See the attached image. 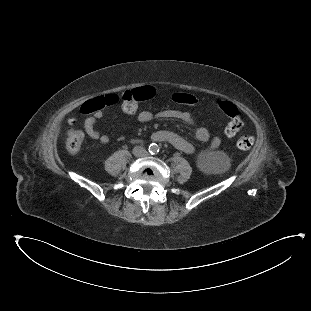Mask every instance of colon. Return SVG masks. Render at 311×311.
I'll list each match as a JSON object with an SVG mask.
<instances>
[{
  "label": "colon",
  "instance_id": "5ec220e1",
  "mask_svg": "<svg viewBox=\"0 0 311 311\" xmlns=\"http://www.w3.org/2000/svg\"><path fill=\"white\" fill-rule=\"evenodd\" d=\"M153 86H143L133 90H122L120 93L102 94L98 97H90L83 101V105L76 113L70 115V122L74 126H82L88 123L92 117L100 110H108L111 108H119L121 105L127 113H134L138 108V102L144 99H149L154 94ZM176 103L193 105L194 98L190 94L176 93L172 96ZM213 103L221 108L232 119L225 128V133L228 136H235L236 131L240 129V124L246 118L235 106L221 95H216L213 98ZM248 132H253L256 129V124L253 121L248 123ZM255 142V137L252 134H244L240 136L237 145L239 149L247 151L252 148ZM84 143V133L78 129H72L67 133L65 147L71 155L79 152Z\"/></svg>",
  "mask_w": 311,
  "mask_h": 311
}]
</instances>
